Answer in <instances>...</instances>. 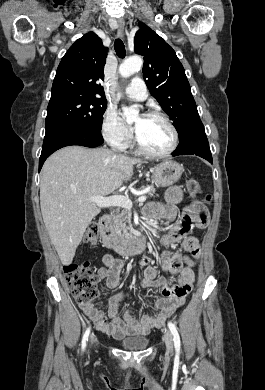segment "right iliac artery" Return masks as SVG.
I'll return each mask as SVG.
<instances>
[{"instance_id":"82829eb1","label":"right iliac artery","mask_w":265,"mask_h":390,"mask_svg":"<svg viewBox=\"0 0 265 390\" xmlns=\"http://www.w3.org/2000/svg\"><path fill=\"white\" fill-rule=\"evenodd\" d=\"M90 330H91L90 327L87 328V330L85 331V333L83 335L82 342H81L82 350H84L85 347H86V344L88 342V337H89V334H90Z\"/></svg>"}]
</instances>
